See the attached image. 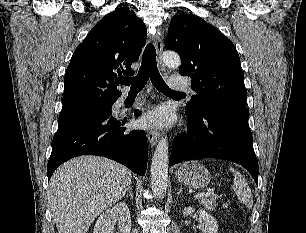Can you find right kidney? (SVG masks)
Returning <instances> with one entry per match:
<instances>
[{"label":"right kidney","instance_id":"obj_1","mask_svg":"<svg viewBox=\"0 0 306 233\" xmlns=\"http://www.w3.org/2000/svg\"><path fill=\"white\" fill-rule=\"evenodd\" d=\"M118 221V233H129L131 230V217L128 206L124 202L103 212L96 221L93 233H112Z\"/></svg>","mask_w":306,"mask_h":233}]
</instances>
